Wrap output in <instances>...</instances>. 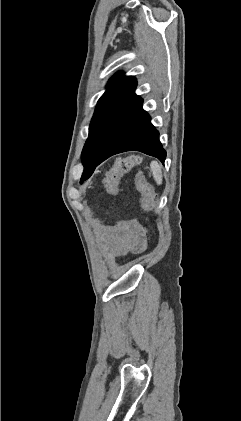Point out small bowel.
<instances>
[{"label": "small bowel", "instance_id": "obj_1", "mask_svg": "<svg viewBox=\"0 0 241 421\" xmlns=\"http://www.w3.org/2000/svg\"><path fill=\"white\" fill-rule=\"evenodd\" d=\"M101 241L109 260L115 257L143 252L148 245V235L136 220H127L105 226Z\"/></svg>", "mask_w": 241, "mask_h": 421}]
</instances>
